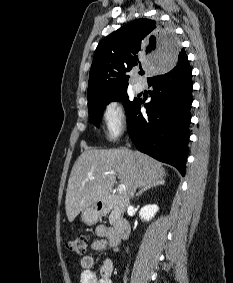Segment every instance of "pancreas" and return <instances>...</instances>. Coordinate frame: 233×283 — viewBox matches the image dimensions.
Returning a JSON list of instances; mask_svg holds the SVG:
<instances>
[{
  "mask_svg": "<svg viewBox=\"0 0 233 283\" xmlns=\"http://www.w3.org/2000/svg\"><path fill=\"white\" fill-rule=\"evenodd\" d=\"M117 215H118V212H117L116 209H114V210L112 211V213L110 214V217H109V222H110L111 225L114 224V222H115V220H116V218H117Z\"/></svg>",
  "mask_w": 233,
  "mask_h": 283,
  "instance_id": "1",
  "label": "pancreas"
}]
</instances>
